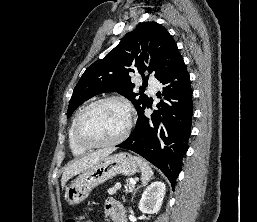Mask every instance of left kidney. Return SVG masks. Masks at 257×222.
<instances>
[{
  "mask_svg": "<svg viewBox=\"0 0 257 222\" xmlns=\"http://www.w3.org/2000/svg\"><path fill=\"white\" fill-rule=\"evenodd\" d=\"M166 185L162 181L151 183L143 192L139 202V210L143 213L157 214L161 208Z\"/></svg>",
  "mask_w": 257,
  "mask_h": 222,
  "instance_id": "1",
  "label": "left kidney"
}]
</instances>
